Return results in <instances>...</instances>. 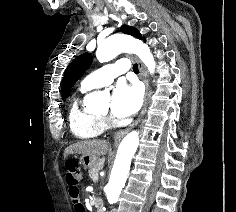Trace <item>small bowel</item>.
<instances>
[{
    "instance_id": "obj_1",
    "label": "small bowel",
    "mask_w": 236,
    "mask_h": 212,
    "mask_svg": "<svg viewBox=\"0 0 236 212\" xmlns=\"http://www.w3.org/2000/svg\"><path fill=\"white\" fill-rule=\"evenodd\" d=\"M67 194L69 195L68 201L72 202V212H88L87 205H79L82 194L78 187V179H71Z\"/></svg>"
}]
</instances>
